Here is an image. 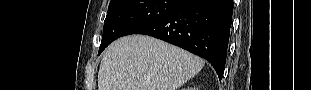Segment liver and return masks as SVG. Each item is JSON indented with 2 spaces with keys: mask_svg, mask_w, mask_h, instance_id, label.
<instances>
[{
  "mask_svg": "<svg viewBox=\"0 0 311 90\" xmlns=\"http://www.w3.org/2000/svg\"><path fill=\"white\" fill-rule=\"evenodd\" d=\"M203 66L198 56L162 40L126 36L107 48L98 90H177Z\"/></svg>",
  "mask_w": 311,
  "mask_h": 90,
  "instance_id": "liver-1",
  "label": "liver"
}]
</instances>
